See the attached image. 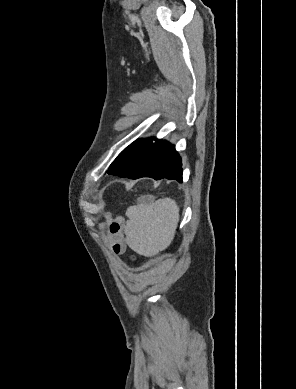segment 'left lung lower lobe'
<instances>
[{
  "instance_id": "0a47b994",
  "label": "left lung lower lobe",
  "mask_w": 296,
  "mask_h": 389,
  "mask_svg": "<svg viewBox=\"0 0 296 389\" xmlns=\"http://www.w3.org/2000/svg\"><path fill=\"white\" fill-rule=\"evenodd\" d=\"M107 173L130 179L167 178L182 183V162L175 146L169 142L157 138L139 139L118 155Z\"/></svg>"
}]
</instances>
